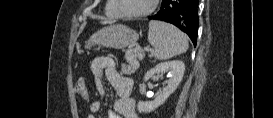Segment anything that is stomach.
Returning a JSON list of instances; mask_svg holds the SVG:
<instances>
[{"instance_id":"stomach-1","label":"stomach","mask_w":273,"mask_h":118,"mask_svg":"<svg viewBox=\"0 0 273 118\" xmlns=\"http://www.w3.org/2000/svg\"><path fill=\"white\" fill-rule=\"evenodd\" d=\"M139 34L121 24L110 25L95 32L88 40L90 45H102L112 48H125L135 43Z\"/></svg>"}]
</instances>
